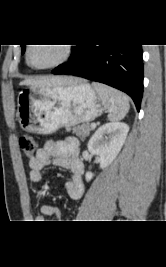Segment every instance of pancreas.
Segmentation results:
<instances>
[{"label": "pancreas", "mask_w": 166, "mask_h": 267, "mask_svg": "<svg viewBox=\"0 0 166 267\" xmlns=\"http://www.w3.org/2000/svg\"><path fill=\"white\" fill-rule=\"evenodd\" d=\"M66 130L67 131H71L72 130L73 134H76L81 139H85L87 136L90 135V132L92 131L89 123H85V124H82V125H77V126H75L73 128L67 127Z\"/></svg>", "instance_id": "cf45deb5"}]
</instances>
